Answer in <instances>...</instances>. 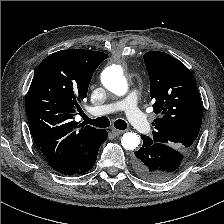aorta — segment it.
Segmentation results:
<instances>
[{
	"label": "aorta",
	"instance_id": "1",
	"mask_svg": "<svg viewBox=\"0 0 224 224\" xmlns=\"http://www.w3.org/2000/svg\"><path fill=\"white\" fill-rule=\"evenodd\" d=\"M102 84L117 96H124L128 91V83L119 65L107 67L101 74ZM121 144L126 150H134L140 144L137 133L126 132L121 138Z\"/></svg>",
	"mask_w": 224,
	"mask_h": 224
}]
</instances>
